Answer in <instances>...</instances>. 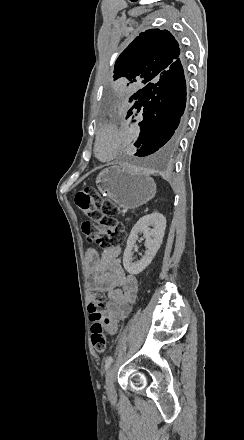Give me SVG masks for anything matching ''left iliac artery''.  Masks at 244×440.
Wrapping results in <instances>:
<instances>
[{
	"label": "left iliac artery",
	"mask_w": 244,
	"mask_h": 440,
	"mask_svg": "<svg viewBox=\"0 0 244 440\" xmlns=\"http://www.w3.org/2000/svg\"><path fill=\"white\" fill-rule=\"evenodd\" d=\"M112 361H113V357L112 356L107 357V359L105 361V366H104V370L105 371L108 370V368L110 367Z\"/></svg>",
	"instance_id": "left-iliac-artery-1"
}]
</instances>
